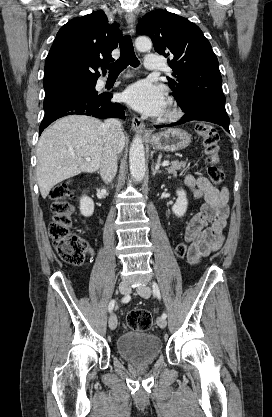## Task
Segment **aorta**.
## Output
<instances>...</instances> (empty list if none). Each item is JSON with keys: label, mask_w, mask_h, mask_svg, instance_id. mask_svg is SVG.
Listing matches in <instances>:
<instances>
[{"label": "aorta", "mask_w": 272, "mask_h": 417, "mask_svg": "<svg viewBox=\"0 0 272 417\" xmlns=\"http://www.w3.org/2000/svg\"><path fill=\"white\" fill-rule=\"evenodd\" d=\"M135 46L139 51H148L152 47V42L148 37L140 36L135 40ZM129 164L132 178L140 182L145 176V150L139 135H136L131 143Z\"/></svg>", "instance_id": "1"}]
</instances>
